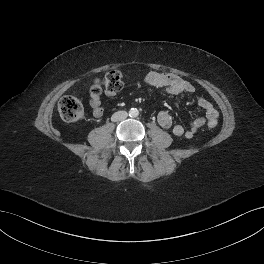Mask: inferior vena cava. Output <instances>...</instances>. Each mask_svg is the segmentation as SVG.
<instances>
[{
    "instance_id": "obj_1",
    "label": "inferior vena cava",
    "mask_w": 264,
    "mask_h": 264,
    "mask_svg": "<svg viewBox=\"0 0 264 264\" xmlns=\"http://www.w3.org/2000/svg\"><path fill=\"white\" fill-rule=\"evenodd\" d=\"M127 116H128V113L126 111H118L112 115L111 120L113 122H118V121L125 120Z\"/></svg>"
}]
</instances>
